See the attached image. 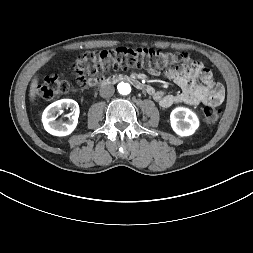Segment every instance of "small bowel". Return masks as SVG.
<instances>
[{
    "mask_svg": "<svg viewBox=\"0 0 253 253\" xmlns=\"http://www.w3.org/2000/svg\"><path fill=\"white\" fill-rule=\"evenodd\" d=\"M148 74L159 77L166 73V77L180 87L178 93H167L154 90L153 99L163 108L178 104L199 105L209 103L219 105L224 100V89L213 77L212 73L204 69L199 62L186 59L178 64H168L165 68L150 66Z\"/></svg>",
    "mask_w": 253,
    "mask_h": 253,
    "instance_id": "small-bowel-1",
    "label": "small bowel"
}]
</instances>
